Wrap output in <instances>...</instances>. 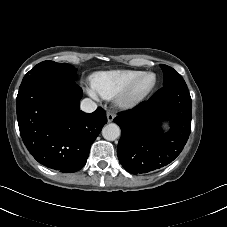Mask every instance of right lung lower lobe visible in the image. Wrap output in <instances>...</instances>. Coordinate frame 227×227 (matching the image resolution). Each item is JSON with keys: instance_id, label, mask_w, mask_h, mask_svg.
<instances>
[{"instance_id": "obj_1", "label": "right lung lower lobe", "mask_w": 227, "mask_h": 227, "mask_svg": "<svg viewBox=\"0 0 227 227\" xmlns=\"http://www.w3.org/2000/svg\"><path fill=\"white\" fill-rule=\"evenodd\" d=\"M82 89L70 77L38 74L23 79L16 99L22 140L42 165L64 173L80 170L107 123L105 110H80Z\"/></svg>"}]
</instances>
